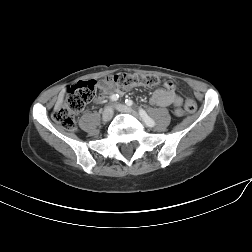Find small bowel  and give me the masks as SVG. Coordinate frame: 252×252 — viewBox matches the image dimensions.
I'll use <instances>...</instances> for the list:
<instances>
[{
	"label": "small bowel",
	"mask_w": 252,
	"mask_h": 252,
	"mask_svg": "<svg viewBox=\"0 0 252 252\" xmlns=\"http://www.w3.org/2000/svg\"><path fill=\"white\" fill-rule=\"evenodd\" d=\"M98 87L101 91V95L96 99L97 102H102L105 97L109 95L122 94L121 91L115 90L113 87L108 86L104 80L99 81ZM175 86H169L165 84L164 89H158L154 91L150 98L151 104L159 107H180L182 105L181 99L174 92Z\"/></svg>",
	"instance_id": "1"
}]
</instances>
